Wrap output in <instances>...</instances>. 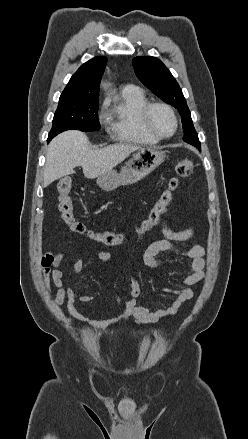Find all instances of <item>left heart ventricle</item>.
Here are the masks:
<instances>
[{"mask_svg":"<svg viewBox=\"0 0 248 439\" xmlns=\"http://www.w3.org/2000/svg\"><path fill=\"white\" fill-rule=\"evenodd\" d=\"M151 121L154 128L161 134L168 135L174 129V121L170 113L162 108L155 107L151 113Z\"/></svg>","mask_w":248,"mask_h":439,"instance_id":"1","label":"left heart ventricle"}]
</instances>
